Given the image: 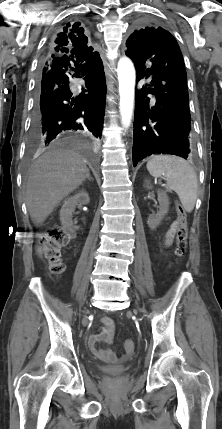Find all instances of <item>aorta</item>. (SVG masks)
<instances>
[{
	"label": "aorta",
	"mask_w": 222,
	"mask_h": 429,
	"mask_svg": "<svg viewBox=\"0 0 222 429\" xmlns=\"http://www.w3.org/2000/svg\"><path fill=\"white\" fill-rule=\"evenodd\" d=\"M117 74L119 81V109L121 123L124 127L127 128L130 126L132 119L136 79L135 68L129 58H120L118 61Z\"/></svg>",
	"instance_id": "aorta-1"
}]
</instances>
